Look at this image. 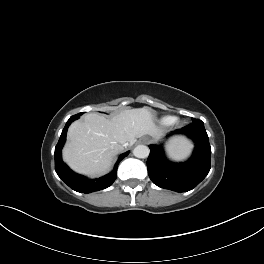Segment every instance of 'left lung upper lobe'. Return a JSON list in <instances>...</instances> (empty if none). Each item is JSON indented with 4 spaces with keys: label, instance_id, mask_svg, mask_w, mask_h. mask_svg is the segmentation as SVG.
<instances>
[{
    "label": "left lung upper lobe",
    "instance_id": "left-lung-upper-lobe-1",
    "mask_svg": "<svg viewBox=\"0 0 264 264\" xmlns=\"http://www.w3.org/2000/svg\"><path fill=\"white\" fill-rule=\"evenodd\" d=\"M192 121H193V122H200L199 119H193V118H192Z\"/></svg>",
    "mask_w": 264,
    "mask_h": 264
}]
</instances>
